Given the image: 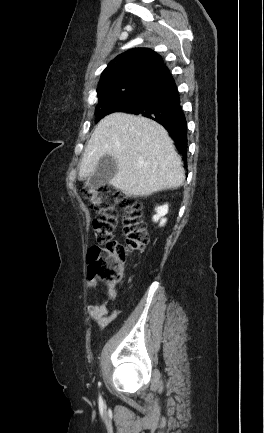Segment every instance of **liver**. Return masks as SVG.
I'll list each match as a JSON object with an SVG mask.
<instances>
[{"mask_svg": "<svg viewBox=\"0 0 264 433\" xmlns=\"http://www.w3.org/2000/svg\"><path fill=\"white\" fill-rule=\"evenodd\" d=\"M104 155L117 160L118 171L109 184L128 195L149 196L178 188L185 180L167 131L142 116L116 112L97 124L83 153L80 179L90 177Z\"/></svg>", "mask_w": 264, "mask_h": 433, "instance_id": "6515ba94", "label": "liver"}]
</instances>
